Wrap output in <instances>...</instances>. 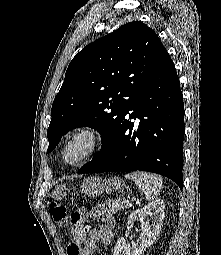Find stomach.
Segmentation results:
<instances>
[{"label":"stomach","mask_w":221,"mask_h":255,"mask_svg":"<svg viewBox=\"0 0 221 255\" xmlns=\"http://www.w3.org/2000/svg\"><path fill=\"white\" fill-rule=\"evenodd\" d=\"M125 183L119 177L101 179L96 176L88 177L82 185L83 192L89 197H97L102 193L123 192ZM68 188L65 184L56 186L52 191V197L55 200H61L66 196Z\"/></svg>","instance_id":"1"}]
</instances>
